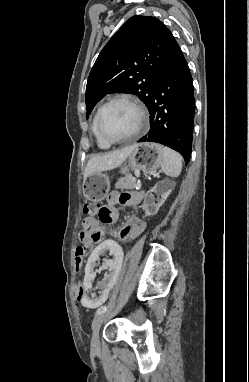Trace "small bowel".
<instances>
[{
  "label": "small bowel",
  "instance_id": "c3829d8e",
  "mask_svg": "<svg viewBox=\"0 0 249 382\" xmlns=\"http://www.w3.org/2000/svg\"><path fill=\"white\" fill-rule=\"evenodd\" d=\"M141 199L142 196L137 193L112 192L108 196L107 205L102 207L103 210L106 212V215L100 218L86 217L83 219L82 228L78 233V239L81 242L82 246L78 247L77 251L83 250L84 252H86L87 250H94V243L99 242L104 234L102 229L99 227V222L112 223L116 221V219L118 218L119 205L136 206L140 203ZM145 226L146 224L143 218L137 215H131L127 218L125 224L118 232V236L124 240L133 239L143 232ZM79 299L80 298H77L78 302Z\"/></svg>",
  "mask_w": 249,
  "mask_h": 382
}]
</instances>
